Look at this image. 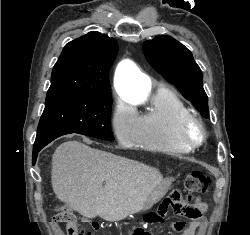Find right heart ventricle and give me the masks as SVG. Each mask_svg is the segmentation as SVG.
<instances>
[{"label":"right heart ventricle","instance_id":"obj_1","mask_svg":"<svg viewBox=\"0 0 250 235\" xmlns=\"http://www.w3.org/2000/svg\"><path fill=\"white\" fill-rule=\"evenodd\" d=\"M191 114L188 106L171 89L159 87L147 110L138 116L135 145L151 152L179 156L190 152L177 138L179 121Z\"/></svg>","mask_w":250,"mask_h":235}]
</instances>
